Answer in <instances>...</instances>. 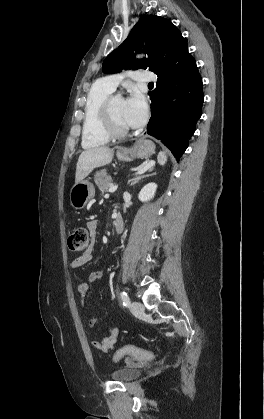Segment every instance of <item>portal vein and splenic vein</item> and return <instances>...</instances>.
Wrapping results in <instances>:
<instances>
[{
    "instance_id": "18ae733b",
    "label": "portal vein and splenic vein",
    "mask_w": 264,
    "mask_h": 419,
    "mask_svg": "<svg viewBox=\"0 0 264 419\" xmlns=\"http://www.w3.org/2000/svg\"><path fill=\"white\" fill-rule=\"evenodd\" d=\"M151 165L149 164V165H147L146 167H142V168H140V169H138V173H142V172H144V171H146L147 169H148V167H150ZM117 188H118V186L117 185H112V186H110V188H109V192L110 193H113V192H115L116 190H117Z\"/></svg>"
}]
</instances>
